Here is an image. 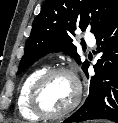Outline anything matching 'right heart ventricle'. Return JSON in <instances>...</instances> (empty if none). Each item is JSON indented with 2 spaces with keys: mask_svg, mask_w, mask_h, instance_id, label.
I'll list each match as a JSON object with an SVG mask.
<instances>
[{
  "mask_svg": "<svg viewBox=\"0 0 118 123\" xmlns=\"http://www.w3.org/2000/svg\"><path fill=\"white\" fill-rule=\"evenodd\" d=\"M45 71V68H38L30 72L21 83L17 95V108L20 115L28 120H39L41 117L35 114L29 104V96L33 84L37 78Z\"/></svg>",
  "mask_w": 118,
  "mask_h": 123,
  "instance_id": "obj_1",
  "label": "right heart ventricle"
}]
</instances>
